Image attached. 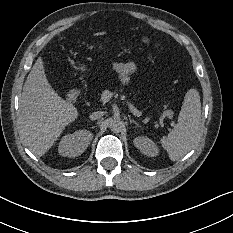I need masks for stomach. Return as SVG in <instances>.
I'll use <instances>...</instances> for the list:
<instances>
[{
    "label": "stomach",
    "mask_w": 233,
    "mask_h": 233,
    "mask_svg": "<svg viewBox=\"0 0 233 233\" xmlns=\"http://www.w3.org/2000/svg\"><path fill=\"white\" fill-rule=\"evenodd\" d=\"M99 48H102V46L100 45ZM78 69L81 71V72H85L86 71V67L84 65L78 67Z\"/></svg>",
    "instance_id": "stomach-1"
}]
</instances>
